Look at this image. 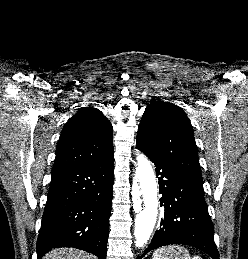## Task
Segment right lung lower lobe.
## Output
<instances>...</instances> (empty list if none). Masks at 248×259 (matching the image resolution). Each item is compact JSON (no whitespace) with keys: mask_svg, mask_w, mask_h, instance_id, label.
<instances>
[{"mask_svg":"<svg viewBox=\"0 0 248 259\" xmlns=\"http://www.w3.org/2000/svg\"><path fill=\"white\" fill-rule=\"evenodd\" d=\"M114 156L51 172L37 241V259L53 248L74 247L106 259Z\"/></svg>","mask_w":248,"mask_h":259,"instance_id":"1","label":"right lung lower lobe"}]
</instances>
